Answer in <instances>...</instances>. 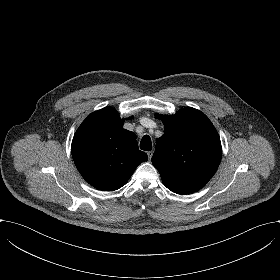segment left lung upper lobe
<instances>
[{
	"mask_svg": "<svg viewBox=\"0 0 280 280\" xmlns=\"http://www.w3.org/2000/svg\"><path fill=\"white\" fill-rule=\"evenodd\" d=\"M157 117L164 123V135L156 142L154 167L172 192L198 191L215 174L222 157L215 127L204 113L191 107Z\"/></svg>",
	"mask_w": 280,
	"mask_h": 280,
	"instance_id": "left-lung-upper-lobe-1",
	"label": "left lung upper lobe"
}]
</instances>
